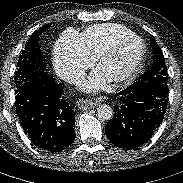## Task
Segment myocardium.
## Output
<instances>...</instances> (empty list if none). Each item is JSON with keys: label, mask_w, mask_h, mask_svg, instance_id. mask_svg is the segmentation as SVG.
<instances>
[{"label": "myocardium", "mask_w": 183, "mask_h": 183, "mask_svg": "<svg viewBox=\"0 0 183 183\" xmlns=\"http://www.w3.org/2000/svg\"><path fill=\"white\" fill-rule=\"evenodd\" d=\"M132 41L138 42L141 46L138 57L136 58L135 62L132 64V66L128 70H126L120 75L110 78V82L114 84H121V83L128 82L132 80L136 76V74L139 72L146 55V45L144 41L136 35L122 38L118 40L116 43H114L110 48L102 52L97 57V68H100L107 60L115 56L118 53V51L122 48V46Z\"/></svg>", "instance_id": "1"}]
</instances>
